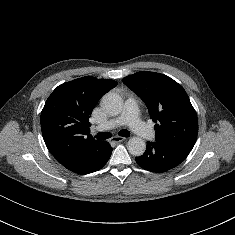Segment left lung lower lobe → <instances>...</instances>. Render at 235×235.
<instances>
[{"label":"left lung lower lobe","mask_w":235,"mask_h":235,"mask_svg":"<svg viewBox=\"0 0 235 235\" xmlns=\"http://www.w3.org/2000/svg\"><path fill=\"white\" fill-rule=\"evenodd\" d=\"M190 150L158 142H147L145 153L136 157L137 164L152 172H165L185 160Z\"/></svg>","instance_id":"1"}]
</instances>
